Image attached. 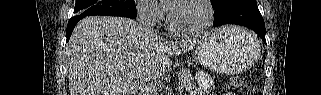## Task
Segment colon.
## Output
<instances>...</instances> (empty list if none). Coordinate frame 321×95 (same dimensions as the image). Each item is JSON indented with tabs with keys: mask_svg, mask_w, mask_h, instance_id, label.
Returning a JSON list of instances; mask_svg holds the SVG:
<instances>
[{
	"mask_svg": "<svg viewBox=\"0 0 321 95\" xmlns=\"http://www.w3.org/2000/svg\"><path fill=\"white\" fill-rule=\"evenodd\" d=\"M242 85V80L239 76H232L229 78L227 87L228 88H238Z\"/></svg>",
	"mask_w": 321,
	"mask_h": 95,
	"instance_id": "5ec220e1",
	"label": "colon"
}]
</instances>
